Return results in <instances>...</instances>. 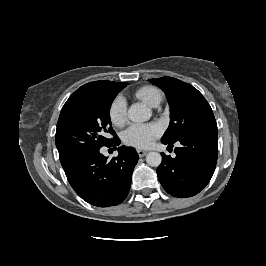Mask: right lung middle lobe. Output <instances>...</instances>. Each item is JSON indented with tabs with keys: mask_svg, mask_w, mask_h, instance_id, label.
I'll return each mask as SVG.
<instances>
[{
	"mask_svg": "<svg viewBox=\"0 0 266 266\" xmlns=\"http://www.w3.org/2000/svg\"><path fill=\"white\" fill-rule=\"evenodd\" d=\"M126 83L111 82L63 106L55 143L62 166L112 143L116 134L110 127V107ZM106 133L114 137L106 138Z\"/></svg>",
	"mask_w": 266,
	"mask_h": 266,
	"instance_id": "1",
	"label": "right lung middle lobe"
}]
</instances>
